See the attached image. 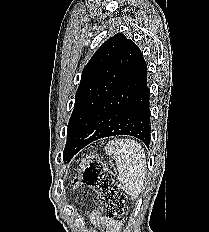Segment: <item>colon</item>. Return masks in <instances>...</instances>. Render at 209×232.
I'll return each instance as SVG.
<instances>
[{"instance_id":"obj_1","label":"colon","mask_w":209,"mask_h":232,"mask_svg":"<svg viewBox=\"0 0 209 232\" xmlns=\"http://www.w3.org/2000/svg\"><path fill=\"white\" fill-rule=\"evenodd\" d=\"M82 179L104 201L108 218L113 221L122 220L127 197L104 163L98 158H89Z\"/></svg>"}]
</instances>
